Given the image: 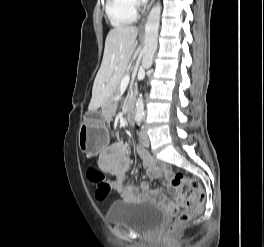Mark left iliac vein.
Instances as JSON below:
<instances>
[{
  "label": "left iliac vein",
  "instance_id": "1",
  "mask_svg": "<svg viewBox=\"0 0 264 247\" xmlns=\"http://www.w3.org/2000/svg\"><path fill=\"white\" fill-rule=\"evenodd\" d=\"M140 142L143 146L148 147L150 145L148 134L145 130H141L139 134Z\"/></svg>",
  "mask_w": 264,
  "mask_h": 247
}]
</instances>
